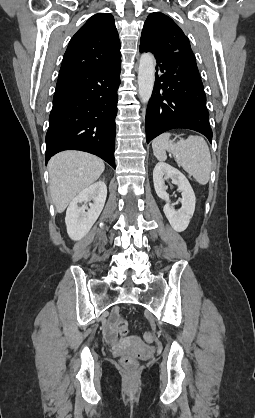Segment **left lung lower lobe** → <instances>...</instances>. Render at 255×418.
Here are the masks:
<instances>
[{
	"label": "left lung lower lobe",
	"mask_w": 255,
	"mask_h": 418,
	"mask_svg": "<svg viewBox=\"0 0 255 418\" xmlns=\"http://www.w3.org/2000/svg\"><path fill=\"white\" fill-rule=\"evenodd\" d=\"M155 59V84L145 120L147 143L175 128L195 130L211 142L206 95L194 54L158 55Z\"/></svg>",
	"instance_id": "0a47b994"
}]
</instances>
